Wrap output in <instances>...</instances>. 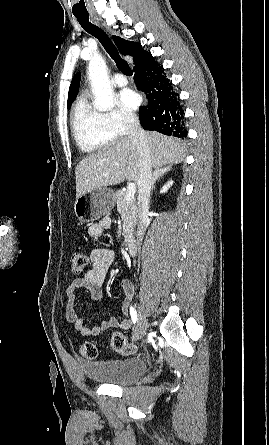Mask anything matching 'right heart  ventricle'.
Masks as SVG:
<instances>
[{
	"label": "right heart ventricle",
	"mask_w": 269,
	"mask_h": 445,
	"mask_svg": "<svg viewBox=\"0 0 269 445\" xmlns=\"http://www.w3.org/2000/svg\"><path fill=\"white\" fill-rule=\"evenodd\" d=\"M71 128L76 145L86 153L106 147L115 139L104 114L93 108L85 95H81L73 106Z\"/></svg>",
	"instance_id": "right-heart-ventricle-1"
}]
</instances>
